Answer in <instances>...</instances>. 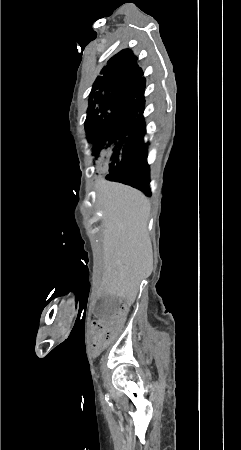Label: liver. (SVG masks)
Masks as SVG:
<instances>
[{
  "mask_svg": "<svg viewBox=\"0 0 241 450\" xmlns=\"http://www.w3.org/2000/svg\"><path fill=\"white\" fill-rule=\"evenodd\" d=\"M97 202L103 208V284L109 294L134 302L140 282L153 270V252L147 232L151 204L139 190L95 182Z\"/></svg>",
  "mask_w": 241,
  "mask_h": 450,
  "instance_id": "obj_1",
  "label": "liver"
}]
</instances>
